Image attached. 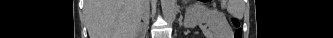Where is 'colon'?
<instances>
[{
	"mask_svg": "<svg viewBox=\"0 0 333 38\" xmlns=\"http://www.w3.org/2000/svg\"><path fill=\"white\" fill-rule=\"evenodd\" d=\"M231 22L235 28L234 38H242V29L240 27V22L235 18H231Z\"/></svg>",
	"mask_w": 333,
	"mask_h": 38,
	"instance_id": "5ec220e1",
	"label": "colon"
}]
</instances>
